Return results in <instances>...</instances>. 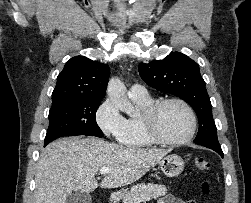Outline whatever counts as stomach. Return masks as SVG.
<instances>
[{
	"label": "stomach",
	"mask_w": 251,
	"mask_h": 203,
	"mask_svg": "<svg viewBox=\"0 0 251 203\" xmlns=\"http://www.w3.org/2000/svg\"><path fill=\"white\" fill-rule=\"evenodd\" d=\"M159 167L167 177H176L183 171L184 161L180 156L171 154L159 161ZM124 192L125 190L121 194L123 195Z\"/></svg>",
	"instance_id": "obj_1"
}]
</instances>
